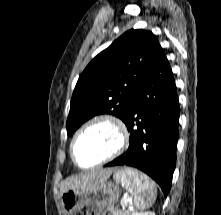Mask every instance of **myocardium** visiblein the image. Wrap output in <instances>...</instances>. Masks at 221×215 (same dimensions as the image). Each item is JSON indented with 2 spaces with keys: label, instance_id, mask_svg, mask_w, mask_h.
<instances>
[{
  "label": "myocardium",
  "instance_id": "f54148a6",
  "mask_svg": "<svg viewBox=\"0 0 221 215\" xmlns=\"http://www.w3.org/2000/svg\"><path fill=\"white\" fill-rule=\"evenodd\" d=\"M100 124L109 126L115 131V133L117 135L116 147L114 148V150L112 152H110L107 156H105L104 158H102L98 162H96L92 165H89V166H82L77 162V160L75 158V154H74L75 143H76L77 139L86 130H88L92 126L100 125ZM128 144H129V131H128L126 124L123 122V120L116 115H113L110 113H104V114H100V115H97V116L89 119L75 132V134L72 137V140L70 142L69 151H70V156H71L72 162L77 167H79L81 169H92V168L101 166V165L115 159L116 157L120 156L127 149Z\"/></svg>",
  "mask_w": 221,
  "mask_h": 215
}]
</instances>
